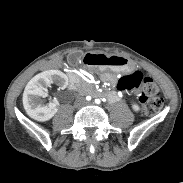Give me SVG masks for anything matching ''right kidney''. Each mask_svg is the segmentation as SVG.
I'll list each match as a JSON object with an SVG mask.
<instances>
[{"mask_svg": "<svg viewBox=\"0 0 183 183\" xmlns=\"http://www.w3.org/2000/svg\"><path fill=\"white\" fill-rule=\"evenodd\" d=\"M56 83L60 89L68 85L67 76L58 70H48L34 76L26 85L23 94V106L26 113L33 119L45 122L58 111L59 102L53 100L44 104L42 98L47 97L46 88Z\"/></svg>", "mask_w": 183, "mask_h": 183, "instance_id": "obj_1", "label": "right kidney"}]
</instances>
